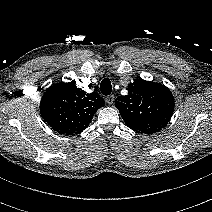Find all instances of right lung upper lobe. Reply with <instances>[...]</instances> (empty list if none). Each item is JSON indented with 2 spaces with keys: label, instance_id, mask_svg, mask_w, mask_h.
<instances>
[{
  "label": "right lung upper lobe",
  "instance_id": "1",
  "mask_svg": "<svg viewBox=\"0 0 212 212\" xmlns=\"http://www.w3.org/2000/svg\"><path fill=\"white\" fill-rule=\"evenodd\" d=\"M70 83L51 86L44 93L40 113L44 121L59 134L73 136L85 130L98 108L105 104L97 93H86Z\"/></svg>",
  "mask_w": 212,
  "mask_h": 212
}]
</instances>
